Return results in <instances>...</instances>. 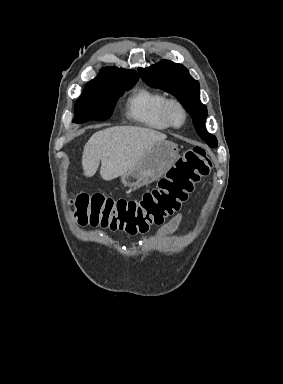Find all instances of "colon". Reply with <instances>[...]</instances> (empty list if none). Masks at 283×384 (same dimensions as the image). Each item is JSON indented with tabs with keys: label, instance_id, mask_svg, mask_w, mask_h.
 <instances>
[{
	"label": "colon",
	"instance_id": "1",
	"mask_svg": "<svg viewBox=\"0 0 283 384\" xmlns=\"http://www.w3.org/2000/svg\"><path fill=\"white\" fill-rule=\"evenodd\" d=\"M212 162L199 146L188 149L157 187L139 199H113L102 194L81 193L73 198L81 225L101 226L129 234L146 232L178 211L194 185L212 170Z\"/></svg>",
	"mask_w": 283,
	"mask_h": 384
}]
</instances>
